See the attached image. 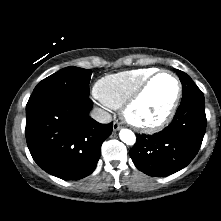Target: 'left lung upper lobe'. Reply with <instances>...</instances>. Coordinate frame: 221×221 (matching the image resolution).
Masks as SVG:
<instances>
[{"label":"left lung upper lobe","mask_w":221,"mask_h":221,"mask_svg":"<svg viewBox=\"0 0 221 221\" xmlns=\"http://www.w3.org/2000/svg\"><path fill=\"white\" fill-rule=\"evenodd\" d=\"M183 87V97L181 103L188 100H204L202 91L196 86L192 79L184 72L177 70Z\"/></svg>","instance_id":"left-lung-upper-lobe-1"}]
</instances>
